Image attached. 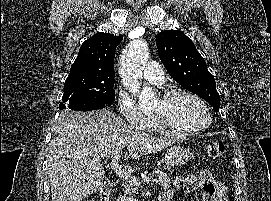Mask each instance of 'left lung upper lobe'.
Listing matches in <instances>:
<instances>
[{"mask_svg": "<svg viewBox=\"0 0 271 201\" xmlns=\"http://www.w3.org/2000/svg\"><path fill=\"white\" fill-rule=\"evenodd\" d=\"M158 55L170 76L185 89L213 106L220 107L216 82L194 43L180 30H166L156 35Z\"/></svg>", "mask_w": 271, "mask_h": 201, "instance_id": "5c2ea615", "label": "left lung upper lobe"}]
</instances>
